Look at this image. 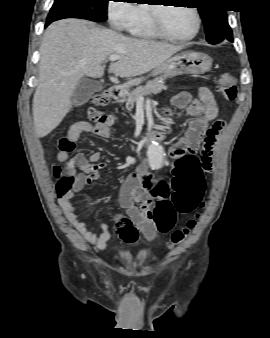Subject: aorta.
Returning <instances> with one entry per match:
<instances>
[{
    "label": "aorta",
    "mask_w": 270,
    "mask_h": 338,
    "mask_svg": "<svg viewBox=\"0 0 270 338\" xmlns=\"http://www.w3.org/2000/svg\"><path fill=\"white\" fill-rule=\"evenodd\" d=\"M148 164L151 169H160L164 164L163 148L159 143H153L148 152Z\"/></svg>",
    "instance_id": "1"
}]
</instances>
